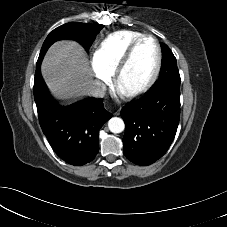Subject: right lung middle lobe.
I'll use <instances>...</instances> for the list:
<instances>
[{
	"label": "right lung middle lobe",
	"mask_w": 227,
	"mask_h": 227,
	"mask_svg": "<svg viewBox=\"0 0 227 227\" xmlns=\"http://www.w3.org/2000/svg\"><path fill=\"white\" fill-rule=\"evenodd\" d=\"M103 27L104 25L101 24H85L79 22H70L57 27L44 41L38 60L41 62L48 48L54 42L62 39L75 40L88 50L96 35Z\"/></svg>",
	"instance_id": "dd1d6c3e"
}]
</instances>
